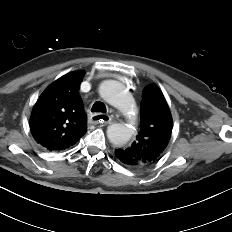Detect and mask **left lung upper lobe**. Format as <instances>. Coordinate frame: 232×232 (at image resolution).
Returning a JSON list of instances; mask_svg holds the SVG:
<instances>
[{
	"label": "left lung upper lobe",
	"instance_id": "5c2ea615",
	"mask_svg": "<svg viewBox=\"0 0 232 232\" xmlns=\"http://www.w3.org/2000/svg\"><path fill=\"white\" fill-rule=\"evenodd\" d=\"M140 131L136 140L122 150L135 161L133 168L157 162L163 155L173 128V120L163 93L156 85L142 94Z\"/></svg>",
	"mask_w": 232,
	"mask_h": 232
}]
</instances>
